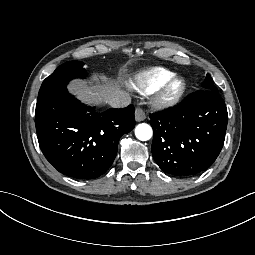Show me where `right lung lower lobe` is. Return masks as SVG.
Returning a JSON list of instances; mask_svg holds the SVG:
<instances>
[{
	"label": "right lung lower lobe",
	"mask_w": 255,
	"mask_h": 255,
	"mask_svg": "<svg viewBox=\"0 0 255 255\" xmlns=\"http://www.w3.org/2000/svg\"><path fill=\"white\" fill-rule=\"evenodd\" d=\"M135 108L97 113L67 90L37 102L35 125L40 148L60 173L76 179H93L112 165L123 134L135 126Z\"/></svg>",
	"instance_id": "1"
}]
</instances>
